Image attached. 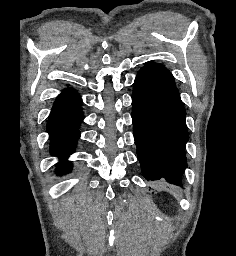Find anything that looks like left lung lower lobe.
Segmentation results:
<instances>
[{
	"label": "left lung lower lobe",
	"instance_id": "obj_1",
	"mask_svg": "<svg viewBox=\"0 0 236 256\" xmlns=\"http://www.w3.org/2000/svg\"><path fill=\"white\" fill-rule=\"evenodd\" d=\"M132 120L143 177L182 186L187 167L186 111L174 82L142 68L135 79Z\"/></svg>",
	"mask_w": 236,
	"mask_h": 256
}]
</instances>
